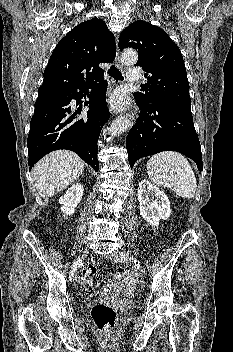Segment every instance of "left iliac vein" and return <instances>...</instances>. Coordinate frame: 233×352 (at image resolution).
Segmentation results:
<instances>
[{"label":"left iliac vein","instance_id":"4c4485c4","mask_svg":"<svg viewBox=\"0 0 233 352\" xmlns=\"http://www.w3.org/2000/svg\"><path fill=\"white\" fill-rule=\"evenodd\" d=\"M107 257L113 259L116 262H120V263H127L130 260V256L128 253L125 252H121V251H115L112 252L110 255H108ZM137 274L139 275V277H144L146 272H145V268L142 265L137 266Z\"/></svg>","mask_w":233,"mask_h":352}]
</instances>
